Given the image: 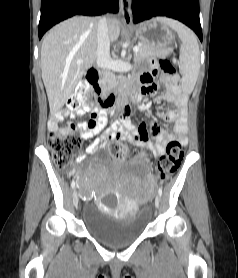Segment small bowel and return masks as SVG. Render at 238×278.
Wrapping results in <instances>:
<instances>
[{"label": "small bowel", "mask_w": 238, "mask_h": 278, "mask_svg": "<svg viewBox=\"0 0 238 278\" xmlns=\"http://www.w3.org/2000/svg\"><path fill=\"white\" fill-rule=\"evenodd\" d=\"M156 73L157 63L153 60L151 61L150 69L143 72L137 78L136 84L138 85V89L135 92V102H139L144 95L157 90L158 85L154 82ZM164 83L166 85V92L155 100L157 102L165 100L173 104L174 108L172 110L159 113V117L165 122L174 124L173 133L162 129L157 123H151L149 125L147 122H143L135 125L131 121L130 110L125 111L101 135L100 133L107 122L106 110H95L90 114L88 120L80 122L76 126L70 125L68 127H59V122L66 117L74 118L76 115H81L82 112L58 111L52 115L49 121V127L51 130L56 129L60 131L77 128L80 131L82 139L93 138V141L86 149L88 154H93L98 149L104 148L112 140H119L127 141L136 147L146 149L155 157H159L164 153L166 145L171 141H177L181 145L187 144V96L181 90L176 79H164ZM79 159H84V156H80ZM147 180H152L151 175H147Z\"/></svg>", "instance_id": "small-bowel-1"}]
</instances>
